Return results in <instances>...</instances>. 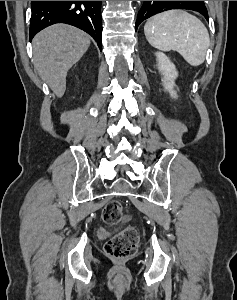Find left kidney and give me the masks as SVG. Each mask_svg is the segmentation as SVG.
Returning <instances> with one entry per match:
<instances>
[{"mask_svg": "<svg viewBox=\"0 0 237 300\" xmlns=\"http://www.w3.org/2000/svg\"><path fill=\"white\" fill-rule=\"evenodd\" d=\"M155 55L158 71L163 75L164 89L170 93L172 99H177V91H174V89L176 87L175 81L178 77V71L174 63H171L170 59L164 53H155Z\"/></svg>", "mask_w": 237, "mask_h": 300, "instance_id": "1", "label": "left kidney"}]
</instances>
